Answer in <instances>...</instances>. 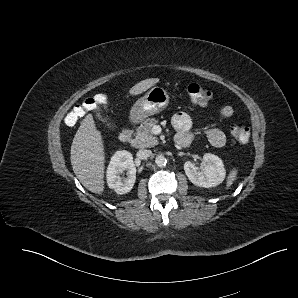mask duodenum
Returning <instances> with one entry per match:
<instances>
[{
    "mask_svg": "<svg viewBox=\"0 0 298 298\" xmlns=\"http://www.w3.org/2000/svg\"><path fill=\"white\" fill-rule=\"evenodd\" d=\"M119 140L122 143H130L132 140V133L129 129H124L119 134ZM174 141L177 146L179 147H188L192 141L193 138L191 135L184 133V132H178L175 135Z\"/></svg>",
    "mask_w": 298,
    "mask_h": 298,
    "instance_id": "duodenum-1",
    "label": "duodenum"
}]
</instances>
